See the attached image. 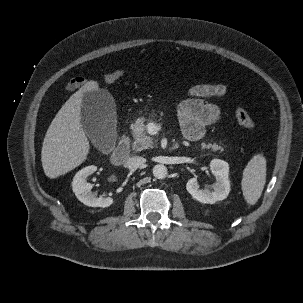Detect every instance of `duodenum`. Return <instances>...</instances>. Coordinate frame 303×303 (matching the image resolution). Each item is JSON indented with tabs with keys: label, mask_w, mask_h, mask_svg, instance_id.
<instances>
[{
	"label": "duodenum",
	"mask_w": 303,
	"mask_h": 303,
	"mask_svg": "<svg viewBox=\"0 0 303 303\" xmlns=\"http://www.w3.org/2000/svg\"><path fill=\"white\" fill-rule=\"evenodd\" d=\"M129 142L126 138H122L119 144L111 153L110 159L114 165H121L129 156Z\"/></svg>",
	"instance_id": "410a0bca"
}]
</instances>
